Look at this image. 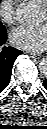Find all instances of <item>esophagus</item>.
Returning a JSON list of instances; mask_svg holds the SVG:
<instances>
[{
    "label": "esophagus",
    "mask_w": 47,
    "mask_h": 129,
    "mask_svg": "<svg viewBox=\"0 0 47 129\" xmlns=\"http://www.w3.org/2000/svg\"><path fill=\"white\" fill-rule=\"evenodd\" d=\"M31 58L33 59H40L41 55L40 54H34V53H30V52H26Z\"/></svg>",
    "instance_id": "obj_1"
}]
</instances>
